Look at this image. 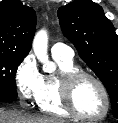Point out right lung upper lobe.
I'll use <instances>...</instances> for the list:
<instances>
[{"label": "right lung upper lobe", "mask_w": 118, "mask_h": 123, "mask_svg": "<svg viewBox=\"0 0 118 123\" xmlns=\"http://www.w3.org/2000/svg\"><path fill=\"white\" fill-rule=\"evenodd\" d=\"M36 14L19 0L0 2V53L26 57L35 34Z\"/></svg>", "instance_id": "obj_1"}]
</instances>
